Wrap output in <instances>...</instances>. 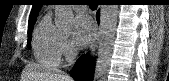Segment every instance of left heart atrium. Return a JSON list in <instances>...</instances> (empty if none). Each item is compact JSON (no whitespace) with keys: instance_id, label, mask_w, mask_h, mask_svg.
<instances>
[{"instance_id":"obj_1","label":"left heart atrium","mask_w":169,"mask_h":81,"mask_svg":"<svg viewBox=\"0 0 169 81\" xmlns=\"http://www.w3.org/2000/svg\"><path fill=\"white\" fill-rule=\"evenodd\" d=\"M94 26L89 16L80 14L75 18L72 33L73 43L77 47L85 46L92 38Z\"/></svg>"}]
</instances>
